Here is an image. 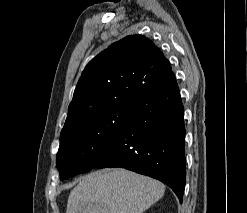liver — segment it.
<instances>
[{
  "instance_id": "obj_1",
  "label": "liver",
  "mask_w": 247,
  "mask_h": 213,
  "mask_svg": "<svg viewBox=\"0 0 247 213\" xmlns=\"http://www.w3.org/2000/svg\"><path fill=\"white\" fill-rule=\"evenodd\" d=\"M164 192L158 180L129 170L96 171L70 192L66 213H143Z\"/></svg>"
}]
</instances>
